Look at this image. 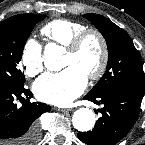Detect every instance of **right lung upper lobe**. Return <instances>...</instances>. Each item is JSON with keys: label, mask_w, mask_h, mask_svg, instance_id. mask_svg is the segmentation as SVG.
<instances>
[{"label": "right lung upper lobe", "mask_w": 145, "mask_h": 145, "mask_svg": "<svg viewBox=\"0 0 145 145\" xmlns=\"http://www.w3.org/2000/svg\"><path fill=\"white\" fill-rule=\"evenodd\" d=\"M19 16H21V15L12 16V17L8 18L7 20H11V19L17 18V17H19Z\"/></svg>", "instance_id": "obj_1"}]
</instances>
